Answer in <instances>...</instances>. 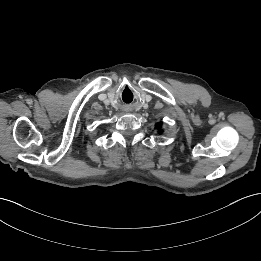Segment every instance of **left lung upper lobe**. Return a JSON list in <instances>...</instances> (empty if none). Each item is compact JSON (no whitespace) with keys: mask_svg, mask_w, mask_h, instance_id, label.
<instances>
[{"mask_svg":"<svg viewBox=\"0 0 261 261\" xmlns=\"http://www.w3.org/2000/svg\"><path fill=\"white\" fill-rule=\"evenodd\" d=\"M160 125H161V124L159 123V124H157V126H156V127H160Z\"/></svg>","mask_w":261,"mask_h":261,"instance_id":"5c2ea615","label":"left lung upper lobe"}]
</instances>
